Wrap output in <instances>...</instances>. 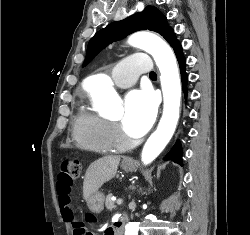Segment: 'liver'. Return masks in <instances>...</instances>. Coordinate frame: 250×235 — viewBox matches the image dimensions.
Segmentation results:
<instances>
[{"label": "liver", "mask_w": 250, "mask_h": 235, "mask_svg": "<svg viewBox=\"0 0 250 235\" xmlns=\"http://www.w3.org/2000/svg\"><path fill=\"white\" fill-rule=\"evenodd\" d=\"M119 163L120 156H105L90 164L83 182V197L87 203L91 194L115 177Z\"/></svg>", "instance_id": "obj_1"}]
</instances>
